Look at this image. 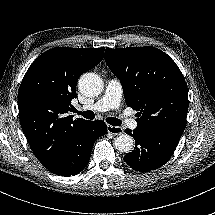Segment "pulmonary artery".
Segmentation results:
<instances>
[{
	"mask_svg": "<svg viewBox=\"0 0 215 215\" xmlns=\"http://www.w3.org/2000/svg\"><path fill=\"white\" fill-rule=\"evenodd\" d=\"M122 99V89L120 84L116 80H111L108 82L105 92L101 99L94 105H88V106H78V111H106L112 108H118L120 106ZM131 126L133 128L137 127V123L135 121H132Z\"/></svg>",
	"mask_w": 215,
	"mask_h": 215,
	"instance_id": "1",
	"label": "pulmonary artery"
}]
</instances>
